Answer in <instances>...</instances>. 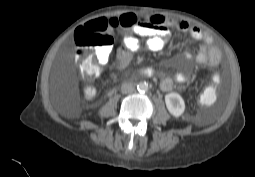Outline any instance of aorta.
<instances>
[{"instance_id":"aorta-1","label":"aorta","mask_w":255,"mask_h":177,"mask_svg":"<svg viewBox=\"0 0 255 177\" xmlns=\"http://www.w3.org/2000/svg\"><path fill=\"white\" fill-rule=\"evenodd\" d=\"M137 89L139 92H146L148 90V84L146 82H140L137 85Z\"/></svg>"}]
</instances>
